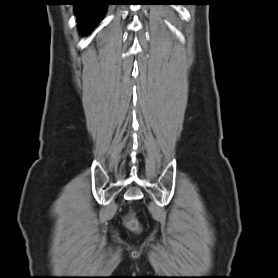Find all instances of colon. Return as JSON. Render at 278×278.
Segmentation results:
<instances>
[{
    "mask_svg": "<svg viewBox=\"0 0 278 278\" xmlns=\"http://www.w3.org/2000/svg\"><path fill=\"white\" fill-rule=\"evenodd\" d=\"M125 223L127 227L132 230H137L139 228L138 222L132 216H127L125 219Z\"/></svg>",
    "mask_w": 278,
    "mask_h": 278,
    "instance_id": "5ec220e1",
    "label": "colon"
}]
</instances>
